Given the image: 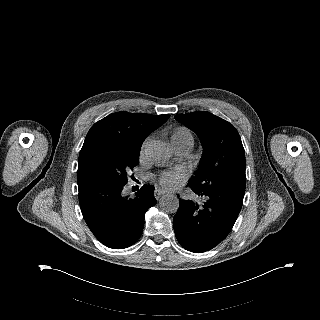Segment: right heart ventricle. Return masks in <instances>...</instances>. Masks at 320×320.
I'll return each mask as SVG.
<instances>
[{"mask_svg":"<svg viewBox=\"0 0 320 320\" xmlns=\"http://www.w3.org/2000/svg\"><path fill=\"white\" fill-rule=\"evenodd\" d=\"M170 141L171 143H188L192 146L194 143V137L189 129L180 126L172 130Z\"/></svg>","mask_w":320,"mask_h":320,"instance_id":"e07e8e85","label":"right heart ventricle"}]
</instances>
